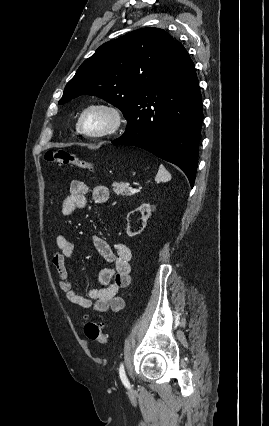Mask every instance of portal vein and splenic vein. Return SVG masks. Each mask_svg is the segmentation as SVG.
Returning a JSON list of instances; mask_svg holds the SVG:
<instances>
[{
  "label": "portal vein and splenic vein",
  "mask_w": 269,
  "mask_h": 426,
  "mask_svg": "<svg viewBox=\"0 0 269 426\" xmlns=\"http://www.w3.org/2000/svg\"><path fill=\"white\" fill-rule=\"evenodd\" d=\"M130 192H131V193H136V192H137V189H135V188H131Z\"/></svg>",
  "instance_id": "obj_1"
}]
</instances>
